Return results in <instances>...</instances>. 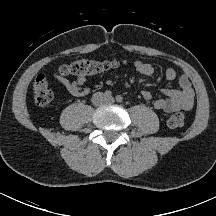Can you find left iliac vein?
Listing matches in <instances>:
<instances>
[{
  "label": "left iliac vein",
  "mask_w": 216,
  "mask_h": 216,
  "mask_svg": "<svg viewBox=\"0 0 216 216\" xmlns=\"http://www.w3.org/2000/svg\"><path fill=\"white\" fill-rule=\"evenodd\" d=\"M107 101H108V102H113L114 99H113V98H108Z\"/></svg>",
  "instance_id": "left-iliac-vein-1"
}]
</instances>
